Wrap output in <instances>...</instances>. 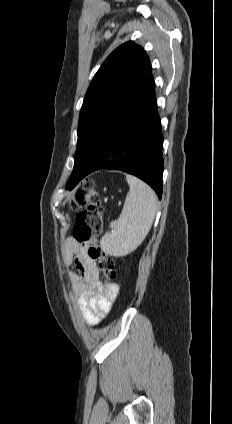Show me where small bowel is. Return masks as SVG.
<instances>
[{
	"label": "small bowel",
	"mask_w": 232,
	"mask_h": 424,
	"mask_svg": "<svg viewBox=\"0 0 232 424\" xmlns=\"http://www.w3.org/2000/svg\"><path fill=\"white\" fill-rule=\"evenodd\" d=\"M62 261L75 293V299L85 322L96 325L110 311L117 295L115 284H103L94 259L88 254V245L67 238L61 249Z\"/></svg>",
	"instance_id": "obj_1"
}]
</instances>
